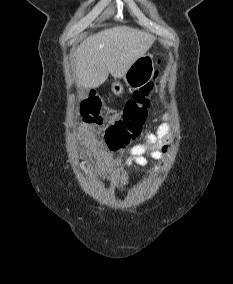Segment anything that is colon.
Masks as SVG:
<instances>
[{"label": "colon", "mask_w": 233, "mask_h": 284, "mask_svg": "<svg viewBox=\"0 0 233 284\" xmlns=\"http://www.w3.org/2000/svg\"><path fill=\"white\" fill-rule=\"evenodd\" d=\"M159 64L160 60H158ZM153 94V83H147L128 99L122 115L112 122L105 131V143L109 150L118 151L125 148L141 134ZM100 110V100L90 97L82 103L80 112L85 122L101 125L103 118Z\"/></svg>", "instance_id": "colon-1"}]
</instances>
